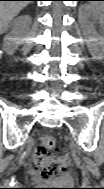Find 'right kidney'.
I'll list each match as a JSON object with an SVG mask.
<instances>
[{
    "label": "right kidney",
    "instance_id": "right-kidney-1",
    "mask_svg": "<svg viewBox=\"0 0 104 189\" xmlns=\"http://www.w3.org/2000/svg\"><path fill=\"white\" fill-rule=\"evenodd\" d=\"M30 21V17L22 16L19 17L11 32L5 36L3 41V49L8 54L12 55L22 43V37L26 24Z\"/></svg>",
    "mask_w": 104,
    "mask_h": 189
}]
</instances>
